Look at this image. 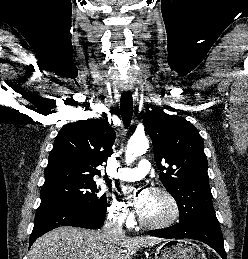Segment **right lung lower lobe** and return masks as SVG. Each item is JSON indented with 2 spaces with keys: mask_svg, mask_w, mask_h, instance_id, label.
Returning <instances> with one entry per match:
<instances>
[{
  "mask_svg": "<svg viewBox=\"0 0 248 259\" xmlns=\"http://www.w3.org/2000/svg\"><path fill=\"white\" fill-rule=\"evenodd\" d=\"M104 220L105 213H95L85 207L59 202L41 203L36 212L30 246L38 237L54 228L76 226L96 229L103 225Z\"/></svg>",
  "mask_w": 248,
  "mask_h": 259,
  "instance_id": "right-lung-lower-lobe-1",
  "label": "right lung lower lobe"
}]
</instances>
